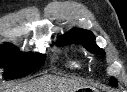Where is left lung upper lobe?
<instances>
[{
  "label": "left lung upper lobe",
  "mask_w": 127,
  "mask_h": 92,
  "mask_svg": "<svg viewBox=\"0 0 127 92\" xmlns=\"http://www.w3.org/2000/svg\"><path fill=\"white\" fill-rule=\"evenodd\" d=\"M82 44L90 52L94 54L104 55V51L99 48L95 43V36L92 32L88 30H83L75 28L68 33L62 35L57 43L59 46H64L67 44ZM110 83L112 85H117L115 78H111Z\"/></svg>",
  "instance_id": "5c2ea615"
}]
</instances>
